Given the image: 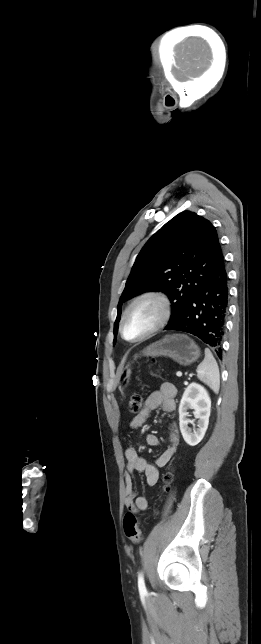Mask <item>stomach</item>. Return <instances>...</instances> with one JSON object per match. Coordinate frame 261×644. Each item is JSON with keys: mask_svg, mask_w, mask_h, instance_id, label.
<instances>
[{"mask_svg": "<svg viewBox=\"0 0 261 644\" xmlns=\"http://www.w3.org/2000/svg\"><path fill=\"white\" fill-rule=\"evenodd\" d=\"M142 354L152 357H169L182 366L193 364L200 357V349L196 343L184 334L166 335L159 341L147 346ZM130 364L122 369L120 374V389L130 380Z\"/></svg>", "mask_w": 261, "mask_h": 644, "instance_id": "obj_1", "label": "stomach"}]
</instances>
